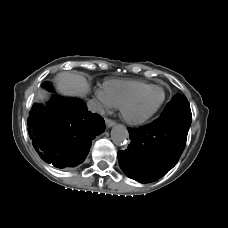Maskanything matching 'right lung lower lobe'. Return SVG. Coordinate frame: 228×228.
Here are the masks:
<instances>
[{
	"mask_svg": "<svg viewBox=\"0 0 228 228\" xmlns=\"http://www.w3.org/2000/svg\"><path fill=\"white\" fill-rule=\"evenodd\" d=\"M43 86L52 90L47 82ZM27 125L32 145L41 159L58 168L82 163L91 141L105 130L103 118L88 111L81 99L59 96L47 105H33Z\"/></svg>",
	"mask_w": 228,
	"mask_h": 228,
	"instance_id": "obj_1",
	"label": "right lung lower lobe"
}]
</instances>
